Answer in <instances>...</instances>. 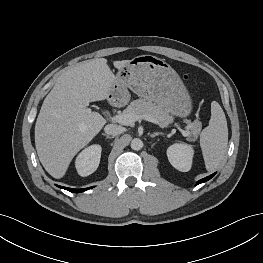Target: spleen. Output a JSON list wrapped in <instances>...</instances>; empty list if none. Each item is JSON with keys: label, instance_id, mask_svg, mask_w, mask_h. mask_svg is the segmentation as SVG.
Listing matches in <instances>:
<instances>
[{"label": "spleen", "instance_id": "1", "mask_svg": "<svg viewBox=\"0 0 263 263\" xmlns=\"http://www.w3.org/2000/svg\"><path fill=\"white\" fill-rule=\"evenodd\" d=\"M228 144L227 120L218 102L211 103L209 125L200 135V146L206 170L214 171L224 159Z\"/></svg>", "mask_w": 263, "mask_h": 263}]
</instances>
